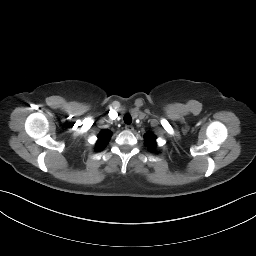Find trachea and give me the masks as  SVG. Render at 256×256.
Returning a JSON list of instances; mask_svg holds the SVG:
<instances>
[{"label":"trachea","instance_id":"trachea-1","mask_svg":"<svg viewBox=\"0 0 256 256\" xmlns=\"http://www.w3.org/2000/svg\"><path fill=\"white\" fill-rule=\"evenodd\" d=\"M124 122H125L126 124H128V125L132 123V117H131L130 114H126V115L124 116Z\"/></svg>","mask_w":256,"mask_h":256}]
</instances>
